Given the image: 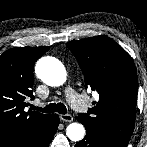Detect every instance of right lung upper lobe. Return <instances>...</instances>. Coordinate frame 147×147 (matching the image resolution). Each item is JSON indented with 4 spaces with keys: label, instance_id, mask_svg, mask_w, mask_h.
<instances>
[{
    "label": "right lung upper lobe",
    "instance_id": "obj_1",
    "mask_svg": "<svg viewBox=\"0 0 147 147\" xmlns=\"http://www.w3.org/2000/svg\"><path fill=\"white\" fill-rule=\"evenodd\" d=\"M48 46L15 47L0 56V147H11L42 130L52 114L25 111L33 99V66Z\"/></svg>",
    "mask_w": 147,
    "mask_h": 147
}]
</instances>
